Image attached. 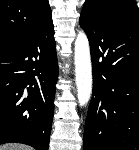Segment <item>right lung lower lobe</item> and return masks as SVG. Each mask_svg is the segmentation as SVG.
<instances>
[{
    "instance_id": "98d812e1",
    "label": "right lung lower lobe",
    "mask_w": 139,
    "mask_h": 150,
    "mask_svg": "<svg viewBox=\"0 0 139 150\" xmlns=\"http://www.w3.org/2000/svg\"><path fill=\"white\" fill-rule=\"evenodd\" d=\"M57 79L52 18L32 35L0 46V144L48 150Z\"/></svg>"
}]
</instances>
